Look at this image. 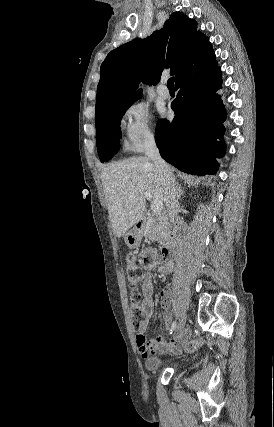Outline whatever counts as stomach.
<instances>
[{
	"mask_svg": "<svg viewBox=\"0 0 274 427\" xmlns=\"http://www.w3.org/2000/svg\"><path fill=\"white\" fill-rule=\"evenodd\" d=\"M143 231L139 229V227H133V229H129L127 233L124 235L125 243H127L128 247H138L141 239H142Z\"/></svg>",
	"mask_w": 274,
	"mask_h": 427,
	"instance_id": "obj_1",
	"label": "stomach"
}]
</instances>
